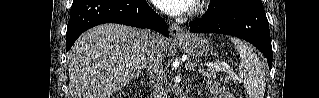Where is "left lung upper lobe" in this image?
Returning a JSON list of instances; mask_svg holds the SVG:
<instances>
[{"instance_id":"5c2ea615","label":"left lung upper lobe","mask_w":319,"mask_h":98,"mask_svg":"<svg viewBox=\"0 0 319 98\" xmlns=\"http://www.w3.org/2000/svg\"><path fill=\"white\" fill-rule=\"evenodd\" d=\"M237 1L239 0H210L206 16L215 17L221 14L229 5Z\"/></svg>"}]
</instances>
